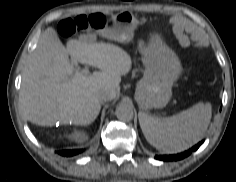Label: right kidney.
Listing matches in <instances>:
<instances>
[{"mask_svg":"<svg viewBox=\"0 0 236 182\" xmlns=\"http://www.w3.org/2000/svg\"><path fill=\"white\" fill-rule=\"evenodd\" d=\"M71 140L76 141V142H81L83 140H85L87 138V136L85 135V133H83L82 131H74L71 135H70Z\"/></svg>","mask_w":236,"mask_h":182,"instance_id":"1","label":"right kidney"}]
</instances>
